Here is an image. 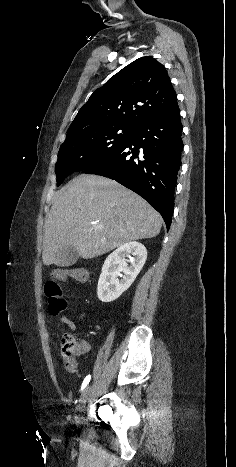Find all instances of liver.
<instances>
[{
  "label": "liver",
  "instance_id": "6515ba94",
  "mask_svg": "<svg viewBox=\"0 0 236 467\" xmlns=\"http://www.w3.org/2000/svg\"><path fill=\"white\" fill-rule=\"evenodd\" d=\"M161 226L158 212L136 193L114 180L81 174L55 193L45 222L43 263L55 264L57 252L66 246L91 259L153 238Z\"/></svg>",
  "mask_w": 236,
  "mask_h": 467
}]
</instances>
